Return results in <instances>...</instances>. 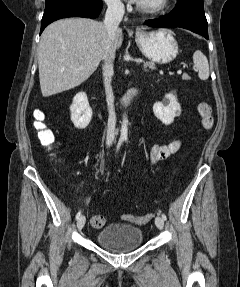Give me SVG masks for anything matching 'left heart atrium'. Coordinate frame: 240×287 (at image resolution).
Segmentation results:
<instances>
[{
	"mask_svg": "<svg viewBox=\"0 0 240 287\" xmlns=\"http://www.w3.org/2000/svg\"><path fill=\"white\" fill-rule=\"evenodd\" d=\"M131 1H134V2H140V0H131Z\"/></svg>",
	"mask_w": 240,
	"mask_h": 287,
	"instance_id": "1",
	"label": "left heart atrium"
}]
</instances>
